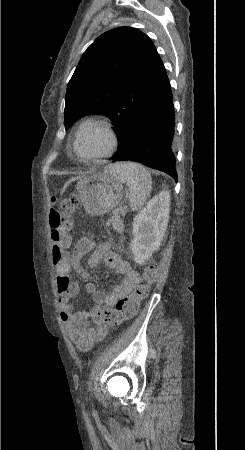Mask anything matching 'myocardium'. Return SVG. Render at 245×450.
Masks as SVG:
<instances>
[{"label":"myocardium","instance_id":"f54148a6","mask_svg":"<svg viewBox=\"0 0 245 450\" xmlns=\"http://www.w3.org/2000/svg\"><path fill=\"white\" fill-rule=\"evenodd\" d=\"M103 130L106 132V134L109 137V146L108 148L99 154L95 155H82L78 152V142L80 138L88 131L90 130ZM119 144V138L118 135L114 129V127L111 125V123L105 121V120H97L93 122H89L86 124H82L78 127L74 139H73V152L75 155L83 160H97V159H103L111 156L118 147Z\"/></svg>","mask_w":245,"mask_h":450}]
</instances>
